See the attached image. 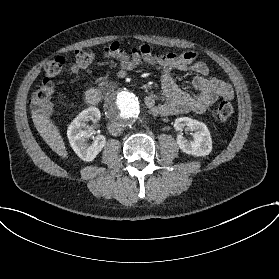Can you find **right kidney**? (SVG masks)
<instances>
[{
    "mask_svg": "<svg viewBox=\"0 0 279 279\" xmlns=\"http://www.w3.org/2000/svg\"><path fill=\"white\" fill-rule=\"evenodd\" d=\"M100 118V110L91 106L79 113L68 126L67 136L69 143L74 152L83 161H93L106 144V138L103 135L94 137L91 145L86 143V140L92 136L91 131L86 129V122L89 120L97 122Z\"/></svg>",
    "mask_w": 279,
    "mask_h": 279,
    "instance_id": "1",
    "label": "right kidney"
}]
</instances>
